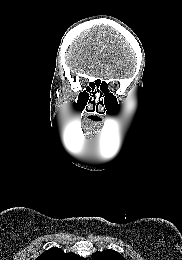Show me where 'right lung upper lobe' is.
I'll list each match as a JSON object with an SVG mask.
<instances>
[{"label": "right lung upper lobe", "mask_w": 182, "mask_h": 260, "mask_svg": "<svg viewBox=\"0 0 182 260\" xmlns=\"http://www.w3.org/2000/svg\"><path fill=\"white\" fill-rule=\"evenodd\" d=\"M36 260H86L75 253H65L62 249L53 247L41 254Z\"/></svg>", "instance_id": "cb5924a9"}]
</instances>
